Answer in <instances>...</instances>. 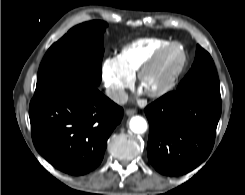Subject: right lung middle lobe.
Here are the masks:
<instances>
[{"label":"right lung middle lobe","instance_id":"dd1d6c3e","mask_svg":"<svg viewBox=\"0 0 245 195\" xmlns=\"http://www.w3.org/2000/svg\"><path fill=\"white\" fill-rule=\"evenodd\" d=\"M107 23L89 21L70 29L45 54L39 67L35 97L73 85L98 86Z\"/></svg>","mask_w":245,"mask_h":195}]
</instances>
